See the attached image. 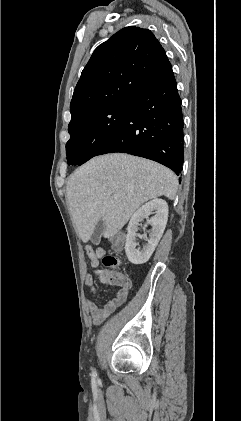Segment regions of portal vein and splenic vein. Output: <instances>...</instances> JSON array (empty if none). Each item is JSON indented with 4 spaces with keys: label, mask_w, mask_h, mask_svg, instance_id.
I'll list each match as a JSON object with an SVG mask.
<instances>
[{
    "label": "portal vein and splenic vein",
    "mask_w": 241,
    "mask_h": 421,
    "mask_svg": "<svg viewBox=\"0 0 241 421\" xmlns=\"http://www.w3.org/2000/svg\"><path fill=\"white\" fill-rule=\"evenodd\" d=\"M113 197H114L115 199H117V198H118V195H117V194H114V195H113Z\"/></svg>",
    "instance_id": "1"
}]
</instances>
